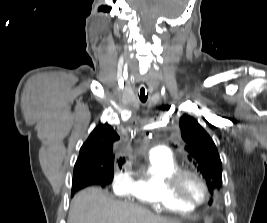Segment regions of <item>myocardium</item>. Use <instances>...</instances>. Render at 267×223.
Listing matches in <instances>:
<instances>
[{
    "label": "myocardium",
    "mask_w": 267,
    "mask_h": 223,
    "mask_svg": "<svg viewBox=\"0 0 267 223\" xmlns=\"http://www.w3.org/2000/svg\"><path fill=\"white\" fill-rule=\"evenodd\" d=\"M194 177L203 188V197L200 200L188 197L183 191V181L186 177ZM170 196L188 206L196 207L205 203L209 197V186L200 173L191 169H179L171 174L166 182Z\"/></svg>",
    "instance_id": "1"
}]
</instances>
